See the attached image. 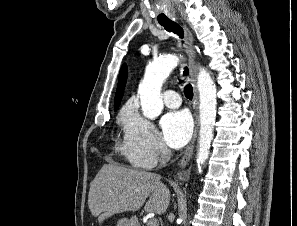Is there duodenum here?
Returning <instances> with one entry per match:
<instances>
[{"label": "duodenum", "mask_w": 297, "mask_h": 226, "mask_svg": "<svg viewBox=\"0 0 297 226\" xmlns=\"http://www.w3.org/2000/svg\"><path fill=\"white\" fill-rule=\"evenodd\" d=\"M131 224H132V226H140L137 224V222L135 220H131Z\"/></svg>", "instance_id": "1"}]
</instances>
